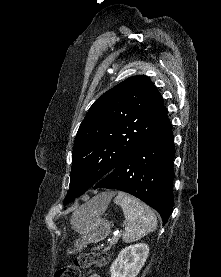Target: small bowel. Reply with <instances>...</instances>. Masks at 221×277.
<instances>
[{
  "label": "small bowel",
  "mask_w": 221,
  "mask_h": 277,
  "mask_svg": "<svg viewBox=\"0 0 221 277\" xmlns=\"http://www.w3.org/2000/svg\"><path fill=\"white\" fill-rule=\"evenodd\" d=\"M88 277H101V276L98 275V274L93 273V274H90Z\"/></svg>",
  "instance_id": "small-bowel-1"
}]
</instances>
